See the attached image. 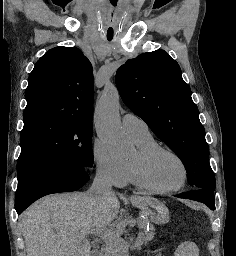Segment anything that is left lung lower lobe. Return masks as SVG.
Wrapping results in <instances>:
<instances>
[{
    "instance_id": "1",
    "label": "left lung lower lobe",
    "mask_w": 236,
    "mask_h": 256,
    "mask_svg": "<svg viewBox=\"0 0 236 256\" xmlns=\"http://www.w3.org/2000/svg\"><path fill=\"white\" fill-rule=\"evenodd\" d=\"M213 191L202 189L196 191L185 192L176 195V197H183L206 204L211 210H215V198L211 193Z\"/></svg>"
}]
</instances>
